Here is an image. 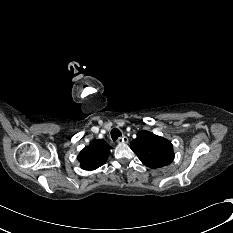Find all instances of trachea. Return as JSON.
<instances>
[{
	"mask_svg": "<svg viewBox=\"0 0 233 233\" xmlns=\"http://www.w3.org/2000/svg\"><path fill=\"white\" fill-rule=\"evenodd\" d=\"M121 135H122V133L120 132L119 129L113 128L111 130V138L113 141H116Z\"/></svg>",
	"mask_w": 233,
	"mask_h": 233,
	"instance_id": "obj_1",
	"label": "trachea"
}]
</instances>
